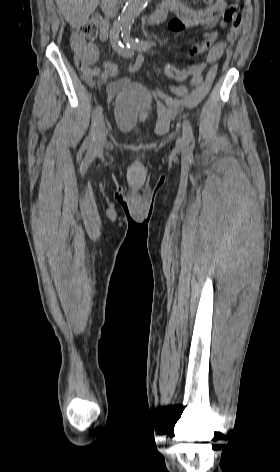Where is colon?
<instances>
[{
    "mask_svg": "<svg viewBox=\"0 0 280 472\" xmlns=\"http://www.w3.org/2000/svg\"><path fill=\"white\" fill-rule=\"evenodd\" d=\"M212 1V0H206ZM240 6L238 3H232L224 12L222 18V25L226 26L231 24L232 27H236L240 25L241 16L239 14ZM100 31V24L97 19L93 18L83 24L80 29L78 30L79 33L86 37L93 38L95 37ZM204 39L200 41L197 45L192 47L190 50V57H194L196 54L199 53V48L204 44ZM76 64L79 68L84 67V63L81 59L76 57ZM161 72L166 75L167 77L173 80H184L188 77V73L186 70L179 69L172 64H165L160 68Z\"/></svg>",
    "mask_w": 280,
    "mask_h": 472,
    "instance_id": "colon-1",
    "label": "colon"
}]
</instances>
